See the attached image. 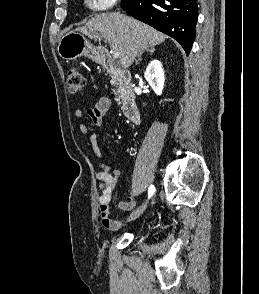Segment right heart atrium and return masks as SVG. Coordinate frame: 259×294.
<instances>
[{
	"label": "right heart atrium",
	"instance_id": "right-heart-atrium-1",
	"mask_svg": "<svg viewBox=\"0 0 259 294\" xmlns=\"http://www.w3.org/2000/svg\"><path fill=\"white\" fill-rule=\"evenodd\" d=\"M86 5L89 9L96 11V12H102L107 9H110L117 0H85Z\"/></svg>",
	"mask_w": 259,
	"mask_h": 294
}]
</instances>
